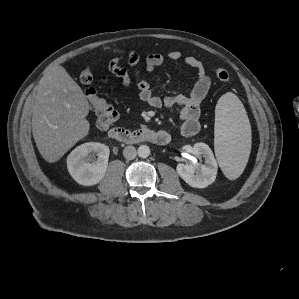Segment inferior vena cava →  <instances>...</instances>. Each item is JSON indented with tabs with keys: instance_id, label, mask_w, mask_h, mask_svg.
<instances>
[{
	"instance_id": "1",
	"label": "inferior vena cava",
	"mask_w": 299,
	"mask_h": 299,
	"mask_svg": "<svg viewBox=\"0 0 299 299\" xmlns=\"http://www.w3.org/2000/svg\"><path fill=\"white\" fill-rule=\"evenodd\" d=\"M137 155V151L134 146H126L123 150V156L128 160H133Z\"/></svg>"
}]
</instances>
